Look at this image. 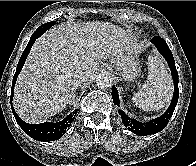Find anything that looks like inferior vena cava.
<instances>
[{
    "label": "inferior vena cava",
    "mask_w": 196,
    "mask_h": 166,
    "mask_svg": "<svg viewBox=\"0 0 196 166\" xmlns=\"http://www.w3.org/2000/svg\"><path fill=\"white\" fill-rule=\"evenodd\" d=\"M74 77L75 81L80 84L88 80V73L82 70H76Z\"/></svg>",
    "instance_id": "1"
}]
</instances>
